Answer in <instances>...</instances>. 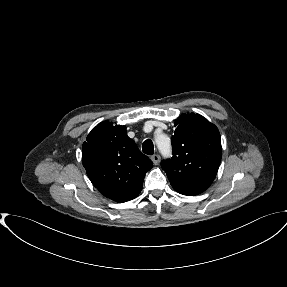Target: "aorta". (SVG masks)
I'll list each match as a JSON object with an SVG mask.
<instances>
[{
    "mask_svg": "<svg viewBox=\"0 0 287 287\" xmlns=\"http://www.w3.org/2000/svg\"><path fill=\"white\" fill-rule=\"evenodd\" d=\"M156 145L163 156H170L171 143L170 139L165 134H157L155 137Z\"/></svg>",
    "mask_w": 287,
    "mask_h": 287,
    "instance_id": "obj_1",
    "label": "aorta"
}]
</instances>
